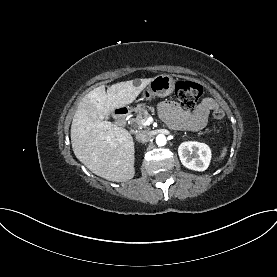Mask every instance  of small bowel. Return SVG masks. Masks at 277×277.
Returning a JSON list of instances; mask_svg holds the SVG:
<instances>
[{
	"mask_svg": "<svg viewBox=\"0 0 277 277\" xmlns=\"http://www.w3.org/2000/svg\"><path fill=\"white\" fill-rule=\"evenodd\" d=\"M217 108L218 103L212 98L203 99L192 111L184 109L178 102L164 101L159 105V113L173 129L197 131L206 125L210 112Z\"/></svg>",
	"mask_w": 277,
	"mask_h": 277,
	"instance_id": "c3829d8e",
	"label": "small bowel"
}]
</instances>
